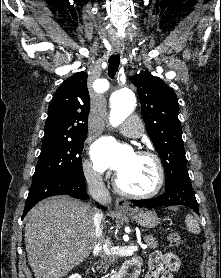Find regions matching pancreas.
<instances>
[{"label": "pancreas", "mask_w": 221, "mask_h": 278, "mask_svg": "<svg viewBox=\"0 0 221 278\" xmlns=\"http://www.w3.org/2000/svg\"><path fill=\"white\" fill-rule=\"evenodd\" d=\"M145 243L148 245L149 248L155 249L158 247L157 239L152 235H147L144 237Z\"/></svg>", "instance_id": "1"}]
</instances>
